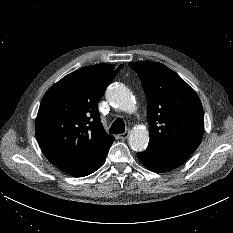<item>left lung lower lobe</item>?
Listing matches in <instances>:
<instances>
[{
    "instance_id": "left-lung-lower-lobe-1",
    "label": "left lung lower lobe",
    "mask_w": 233,
    "mask_h": 233,
    "mask_svg": "<svg viewBox=\"0 0 233 233\" xmlns=\"http://www.w3.org/2000/svg\"><path fill=\"white\" fill-rule=\"evenodd\" d=\"M190 153L182 151L163 150L148 146L144 152L138 153L140 162L148 169L162 173L181 166Z\"/></svg>"
}]
</instances>
